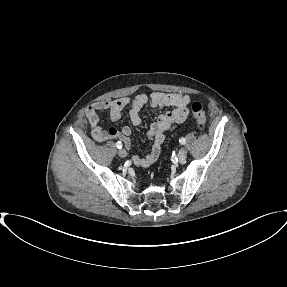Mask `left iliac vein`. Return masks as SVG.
Segmentation results:
<instances>
[{
  "instance_id": "4c4485c4",
  "label": "left iliac vein",
  "mask_w": 287,
  "mask_h": 287,
  "mask_svg": "<svg viewBox=\"0 0 287 287\" xmlns=\"http://www.w3.org/2000/svg\"><path fill=\"white\" fill-rule=\"evenodd\" d=\"M187 156V150L185 148H181L178 152V158L180 161H183Z\"/></svg>"
}]
</instances>
